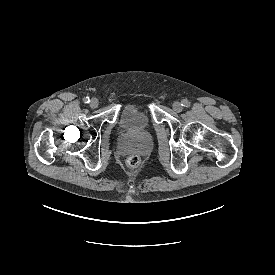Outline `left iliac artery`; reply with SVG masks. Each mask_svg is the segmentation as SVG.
I'll return each mask as SVG.
<instances>
[{
    "instance_id": "obj_1",
    "label": "left iliac artery",
    "mask_w": 275,
    "mask_h": 275,
    "mask_svg": "<svg viewBox=\"0 0 275 275\" xmlns=\"http://www.w3.org/2000/svg\"><path fill=\"white\" fill-rule=\"evenodd\" d=\"M181 105L184 107H189L190 106V102L187 99H183L181 102Z\"/></svg>"
}]
</instances>
